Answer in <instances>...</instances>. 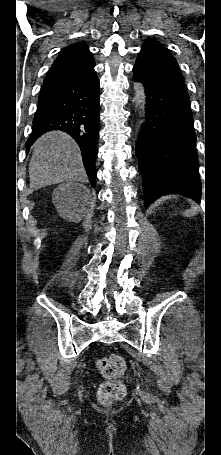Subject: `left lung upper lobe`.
<instances>
[{"label": "left lung upper lobe", "instance_id": "1", "mask_svg": "<svg viewBox=\"0 0 221 455\" xmlns=\"http://www.w3.org/2000/svg\"><path fill=\"white\" fill-rule=\"evenodd\" d=\"M135 65L143 70L160 73L184 86V77L176 59L154 40H147L143 44Z\"/></svg>", "mask_w": 221, "mask_h": 455}]
</instances>
